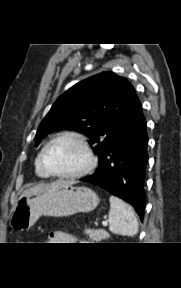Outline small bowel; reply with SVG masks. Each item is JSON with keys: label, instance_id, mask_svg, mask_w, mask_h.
<instances>
[{"label": "small bowel", "instance_id": "obj_1", "mask_svg": "<svg viewBox=\"0 0 181 288\" xmlns=\"http://www.w3.org/2000/svg\"><path fill=\"white\" fill-rule=\"evenodd\" d=\"M73 240L71 237L62 231H55L50 233L48 237V243H69L72 242Z\"/></svg>", "mask_w": 181, "mask_h": 288}]
</instances>
